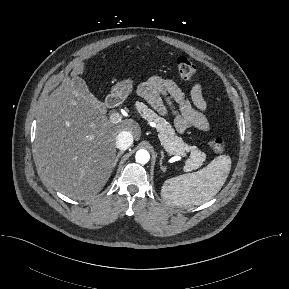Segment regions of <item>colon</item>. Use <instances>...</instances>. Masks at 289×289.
I'll return each instance as SVG.
<instances>
[{"label": "colon", "instance_id": "colon-1", "mask_svg": "<svg viewBox=\"0 0 289 289\" xmlns=\"http://www.w3.org/2000/svg\"><path fill=\"white\" fill-rule=\"evenodd\" d=\"M176 69L179 76L186 80L192 79L196 74V66L185 56L176 59ZM208 144L215 153H222L225 150V141L221 137L211 138Z\"/></svg>", "mask_w": 289, "mask_h": 289}]
</instances>
